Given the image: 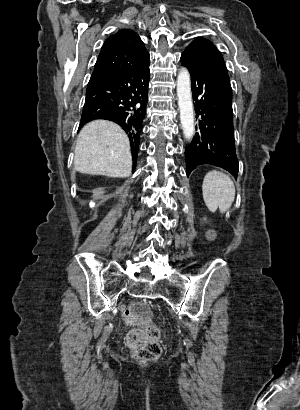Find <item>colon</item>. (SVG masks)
Returning a JSON list of instances; mask_svg holds the SVG:
<instances>
[{
  "label": "colon",
  "instance_id": "5ec220e1",
  "mask_svg": "<svg viewBox=\"0 0 300 410\" xmlns=\"http://www.w3.org/2000/svg\"><path fill=\"white\" fill-rule=\"evenodd\" d=\"M132 329L127 336V344L135 358L143 361L157 359L161 354L159 329L150 318V310L146 304L133 303L124 313Z\"/></svg>",
  "mask_w": 300,
  "mask_h": 410
}]
</instances>
